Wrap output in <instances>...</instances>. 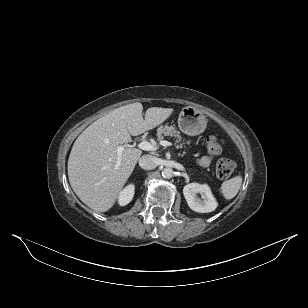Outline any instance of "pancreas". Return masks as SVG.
<instances>
[{
  "label": "pancreas",
  "instance_id": "obj_1",
  "mask_svg": "<svg viewBox=\"0 0 308 308\" xmlns=\"http://www.w3.org/2000/svg\"><path fill=\"white\" fill-rule=\"evenodd\" d=\"M164 136L168 137H175L176 138V148H182L185 143L182 141V137L180 135V132L175 130L173 126H168V125H161L157 129V138L161 142L164 138Z\"/></svg>",
  "mask_w": 308,
  "mask_h": 308
}]
</instances>
